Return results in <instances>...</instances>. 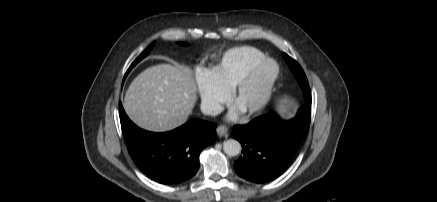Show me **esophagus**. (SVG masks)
Returning <instances> with one entry per match:
<instances>
[{
  "label": "esophagus",
  "instance_id": "34e87169",
  "mask_svg": "<svg viewBox=\"0 0 437 202\" xmlns=\"http://www.w3.org/2000/svg\"><path fill=\"white\" fill-rule=\"evenodd\" d=\"M216 131L220 137H224L228 135V128L225 125L218 126Z\"/></svg>",
  "mask_w": 437,
  "mask_h": 202
}]
</instances>
